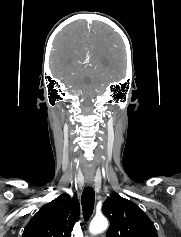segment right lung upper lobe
Masks as SVG:
<instances>
[{
	"mask_svg": "<svg viewBox=\"0 0 181 237\" xmlns=\"http://www.w3.org/2000/svg\"><path fill=\"white\" fill-rule=\"evenodd\" d=\"M79 202L61 194L45 204L26 225L22 237H70L79 219Z\"/></svg>",
	"mask_w": 181,
	"mask_h": 237,
	"instance_id": "cb5924a9",
	"label": "right lung upper lobe"
}]
</instances>
